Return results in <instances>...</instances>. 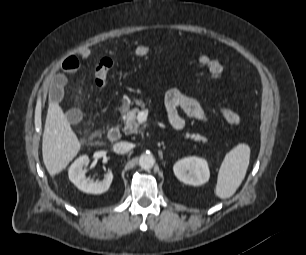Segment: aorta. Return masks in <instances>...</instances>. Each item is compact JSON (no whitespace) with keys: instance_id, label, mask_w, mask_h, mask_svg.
<instances>
[{"instance_id":"762f6f07","label":"aorta","mask_w":306,"mask_h":255,"mask_svg":"<svg viewBox=\"0 0 306 255\" xmlns=\"http://www.w3.org/2000/svg\"><path fill=\"white\" fill-rule=\"evenodd\" d=\"M155 159L152 154H142L139 158V166L144 170H149L154 166Z\"/></svg>"}]
</instances>
